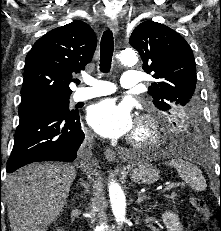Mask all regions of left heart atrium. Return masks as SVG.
<instances>
[{"label":"left heart atrium","mask_w":221,"mask_h":231,"mask_svg":"<svg viewBox=\"0 0 221 231\" xmlns=\"http://www.w3.org/2000/svg\"><path fill=\"white\" fill-rule=\"evenodd\" d=\"M87 120L98 134L107 138H119L134 129L130 107L112 99L102 100L91 106Z\"/></svg>","instance_id":"left-heart-atrium-1"}]
</instances>
